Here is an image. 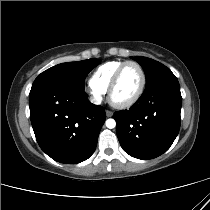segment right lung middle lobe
<instances>
[{
	"instance_id": "1",
	"label": "right lung middle lobe",
	"mask_w": 210,
	"mask_h": 210,
	"mask_svg": "<svg viewBox=\"0 0 210 210\" xmlns=\"http://www.w3.org/2000/svg\"><path fill=\"white\" fill-rule=\"evenodd\" d=\"M100 60L88 59L78 62H66L53 66L42 72L33 82L32 86L59 83L83 89L86 76L94 69Z\"/></svg>"
}]
</instances>
